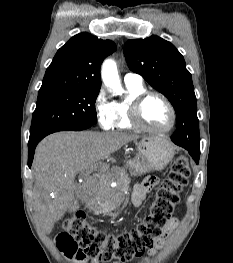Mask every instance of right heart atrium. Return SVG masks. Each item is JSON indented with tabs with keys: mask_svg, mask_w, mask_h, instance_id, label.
Masks as SVG:
<instances>
[{
	"mask_svg": "<svg viewBox=\"0 0 233 263\" xmlns=\"http://www.w3.org/2000/svg\"><path fill=\"white\" fill-rule=\"evenodd\" d=\"M94 112L103 130H112L116 124L113 103L109 100L105 88H99L93 103Z\"/></svg>",
	"mask_w": 233,
	"mask_h": 263,
	"instance_id": "d8ad5b80",
	"label": "right heart atrium"
}]
</instances>
